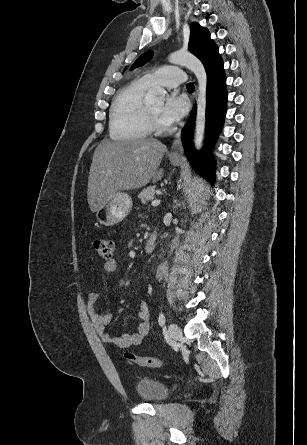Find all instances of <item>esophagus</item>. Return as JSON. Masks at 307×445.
Instances as JSON below:
<instances>
[{
    "mask_svg": "<svg viewBox=\"0 0 307 445\" xmlns=\"http://www.w3.org/2000/svg\"><path fill=\"white\" fill-rule=\"evenodd\" d=\"M170 157L178 158V159L183 158V148H182V142H181V138H180V132L176 133V135L174 137L172 147H171Z\"/></svg>",
    "mask_w": 307,
    "mask_h": 445,
    "instance_id": "esophagus-1",
    "label": "esophagus"
}]
</instances>
